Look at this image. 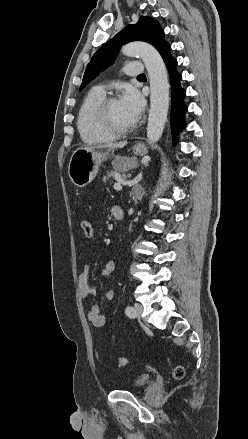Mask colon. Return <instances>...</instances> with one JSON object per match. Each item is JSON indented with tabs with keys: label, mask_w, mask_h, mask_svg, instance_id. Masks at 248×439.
Here are the masks:
<instances>
[{
	"label": "colon",
	"mask_w": 248,
	"mask_h": 439,
	"mask_svg": "<svg viewBox=\"0 0 248 439\" xmlns=\"http://www.w3.org/2000/svg\"><path fill=\"white\" fill-rule=\"evenodd\" d=\"M81 228L86 237H91L93 234V225L89 220H84L81 223ZM118 366L123 367L127 364L126 358H118L117 359ZM173 376L175 379H182L185 376V369L183 366L178 365L173 370Z\"/></svg>",
	"instance_id": "obj_1"
}]
</instances>
